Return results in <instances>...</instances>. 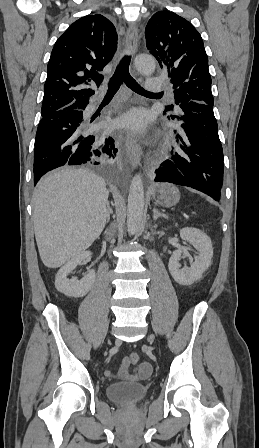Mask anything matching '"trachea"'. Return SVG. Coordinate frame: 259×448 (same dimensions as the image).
Segmentation results:
<instances>
[{"mask_svg":"<svg viewBox=\"0 0 259 448\" xmlns=\"http://www.w3.org/2000/svg\"><path fill=\"white\" fill-rule=\"evenodd\" d=\"M130 56H124L117 66L114 75L109 81L106 95H113L118 92L120 85L124 82L128 88H131L136 93H152L142 88L139 83L129 73Z\"/></svg>","mask_w":259,"mask_h":448,"instance_id":"obj_1","label":"trachea"}]
</instances>
